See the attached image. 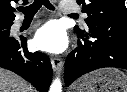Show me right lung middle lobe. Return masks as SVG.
<instances>
[{
	"label": "right lung middle lobe",
	"mask_w": 127,
	"mask_h": 92,
	"mask_svg": "<svg viewBox=\"0 0 127 92\" xmlns=\"http://www.w3.org/2000/svg\"><path fill=\"white\" fill-rule=\"evenodd\" d=\"M11 24L8 25H0V35L10 34Z\"/></svg>",
	"instance_id": "dd1d6c3e"
}]
</instances>
